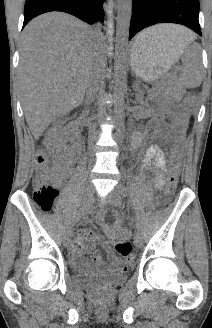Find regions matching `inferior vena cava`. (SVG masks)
I'll use <instances>...</instances> for the list:
<instances>
[{"label":"inferior vena cava","instance_id":"inferior-vena-cava-1","mask_svg":"<svg viewBox=\"0 0 212 328\" xmlns=\"http://www.w3.org/2000/svg\"><path fill=\"white\" fill-rule=\"evenodd\" d=\"M93 30L97 36L100 35V27L99 26H95L93 28ZM96 85H97L96 76L93 73H91V76H90V79H89L88 85H87V93H86L87 104H90V102H92L94 100V95L96 93ZM93 133H94V127H91L89 130L90 140L93 139Z\"/></svg>","mask_w":212,"mask_h":328}]
</instances>
